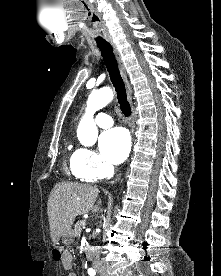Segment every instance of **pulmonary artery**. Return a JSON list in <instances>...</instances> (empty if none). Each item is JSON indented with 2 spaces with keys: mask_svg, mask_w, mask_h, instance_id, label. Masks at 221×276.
Returning <instances> with one entry per match:
<instances>
[{
  "mask_svg": "<svg viewBox=\"0 0 221 276\" xmlns=\"http://www.w3.org/2000/svg\"><path fill=\"white\" fill-rule=\"evenodd\" d=\"M95 122L101 128H108L113 124L112 118L105 113H98L95 117Z\"/></svg>",
  "mask_w": 221,
  "mask_h": 276,
  "instance_id": "1",
  "label": "pulmonary artery"
}]
</instances>
